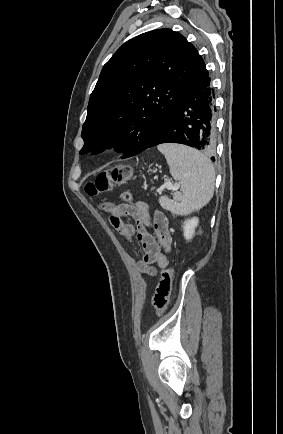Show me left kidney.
I'll return each instance as SVG.
<instances>
[{"label": "left kidney", "mask_w": 283, "mask_h": 434, "mask_svg": "<svg viewBox=\"0 0 283 434\" xmlns=\"http://www.w3.org/2000/svg\"><path fill=\"white\" fill-rule=\"evenodd\" d=\"M199 219L193 217L183 222V234L187 241L191 240L195 234V229L198 226Z\"/></svg>", "instance_id": "left-kidney-1"}]
</instances>
